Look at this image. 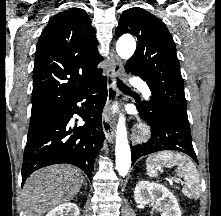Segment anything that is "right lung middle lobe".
<instances>
[{
	"label": "right lung middle lobe",
	"mask_w": 221,
	"mask_h": 216,
	"mask_svg": "<svg viewBox=\"0 0 221 216\" xmlns=\"http://www.w3.org/2000/svg\"><path fill=\"white\" fill-rule=\"evenodd\" d=\"M48 115H49V111L39 113V114H36V115H31L28 135H30V134L34 133L36 130H38L39 127L47 119Z\"/></svg>",
	"instance_id": "1"
}]
</instances>
